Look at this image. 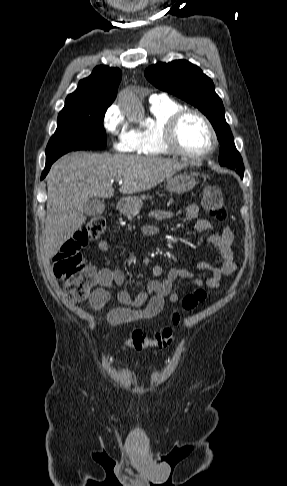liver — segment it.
I'll return each mask as SVG.
<instances>
[{"instance_id": "6515ba94", "label": "liver", "mask_w": 287, "mask_h": 486, "mask_svg": "<svg viewBox=\"0 0 287 486\" xmlns=\"http://www.w3.org/2000/svg\"><path fill=\"white\" fill-rule=\"evenodd\" d=\"M187 163L161 158L75 152L61 157L47 175L45 253L53 257L85 223L84 206L90 198H110L112 184L122 180V194L156 186Z\"/></svg>"}]
</instances>
